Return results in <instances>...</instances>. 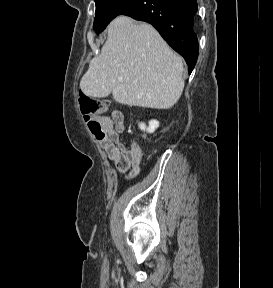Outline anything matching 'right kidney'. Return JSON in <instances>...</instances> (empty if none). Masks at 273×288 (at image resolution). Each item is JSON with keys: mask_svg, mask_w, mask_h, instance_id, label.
I'll return each instance as SVG.
<instances>
[{"mask_svg": "<svg viewBox=\"0 0 273 288\" xmlns=\"http://www.w3.org/2000/svg\"><path fill=\"white\" fill-rule=\"evenodd\" d=\"M159 127V122L157 120L149 121V126L147 127L145 123H139V128L142 131H147L148 133H153Z\"/></svg>", "mask_w": 273, "mask_h": 288, "instance_id": "ca27d5eb", "label": "right kidney"}]
</instances>
